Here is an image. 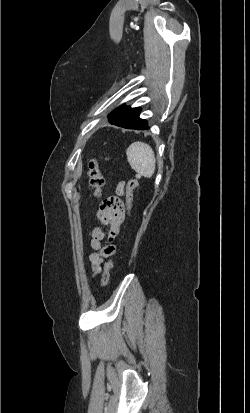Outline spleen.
<instances>
[{
  "mask_svg": "<svg viewBox=\"0 0 250 413\" xmlns=\"http://www.w3.org/2000/svg\"><path fill=\"white\" fill-rule=\"evenodd\" d=\"M131 168L139 175L151 178L155 172V156L152 148L143 142H133L126 151Z\"/></svg>",
  "mask_w": 250,
  "mask_h": 413,
  "instance_id": "3e777b00",
  "label": "spleen"
}]
</instances>
